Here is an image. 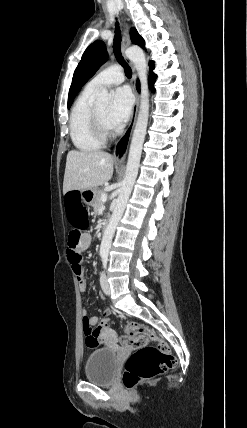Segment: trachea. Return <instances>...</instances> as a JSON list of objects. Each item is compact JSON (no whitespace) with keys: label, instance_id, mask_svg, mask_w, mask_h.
Listing matches in <instances>:
<instances>
[{"label":"trachea","instance_id":"trachea-1","mask_svg":"<svg viewBox=\"0 0 247 428\" xmlns=\"http://www.w3.org/2000/svg\"><path fill=\"white\" fill-rule=\"evenodd\" d=\"M115 37H114V43H113V52L115 54V57L122 63V65L125 68V74L128 78H131L132 71L131 68L127 65V63L124 61L122 53H121V32L119 28L118 22L115 24Z\"/></svg>","mask_w":247,"mask_h":428}]
</instances>
